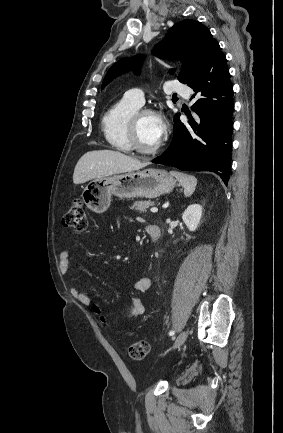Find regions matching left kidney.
Returning a JSON list of instances; mask_svg holds the SVG:
<instances>
[{
    "mask_svg": "<svg viewBox=\"0 0 283 433\" xmlns=\"http://www.w3.org/2000/svg\"><path fill=\"white\" fill-rule=\"evenodd\" d=\"M203 209L199 204H192L182 214V219L190 231H195L200 223Z\"/></svg>",
    "mask_w": 283,
    "mask_h": 433,
    "instance_id": "5707ae66",
    "label": "left kidney"
}]
</instances>
